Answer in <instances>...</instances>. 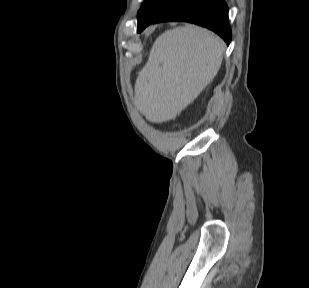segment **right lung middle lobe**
I'll return each mask as SVG.
<instances>
[{
    "mask_svg": "<svg viewBox=\"0 0 309 288\" xmlns=\"http://www.w3.org/2000/svg\"><path fill=\"white\" fill-rule=\"evenodd\" d=\"M180 0H146L138 14V29H145L152 21L168 8L176 5Z\"/></svg>",
    "mask_w": 309,
    "mask_h": 288,
    "instance_id": "right-lung-middle-lobe-1",
    "label": "right lung middle lobe"
}]
</instances>
